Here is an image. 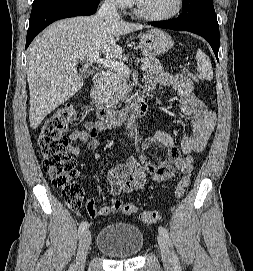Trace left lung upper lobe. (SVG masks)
Returning <instances> with one entry per match:
<instances>
[{
    "mask_svg": "<svg viewBox=\"0 0 253 271\" xmlns=\"http://www.w3.org/2000/svg\"><path fill=\"white\" fill-rule=\"evenodd\" d=\"M213 7V0H184L182 14L179 16L183 20L205 13Z\"/></svg>",
    "mask_w": 253,
    "mask_h": 271,
    "instance_id": "obj_1",
    "label": "left lung upper lobe"
}]
</instances>
